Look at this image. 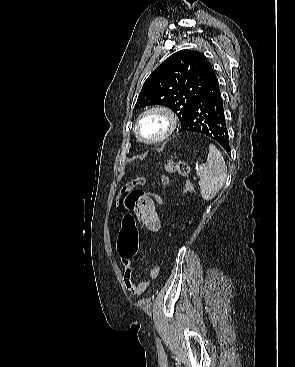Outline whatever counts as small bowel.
<instances>
[{
    "mask_svg": "<svg viewBox=\"0 0 295 367\" xmlns=\"http://www.w3.org/2000/svg\"><path fill=\"white\" fill-rule=\"evenodd\" d=\"M152 196H141L137 203L136 213L143 224V226L151 232H157L160 229L159 214L155 205V201ZM118 254L123 266V279L127 290L134 296L143 295L150 287L148 282H134L133 281V266L132 257L135 252L131 254H124L121 250L120 242H118ZM160 273V267L158 265L152 266L150 269V276L157 278Z\"/></svg>",
    "mask_w": 295,
    "mask_h": 367,
    "instance_id": "c3829d8e",
    "label": "small bowel"
}]
</instances>
